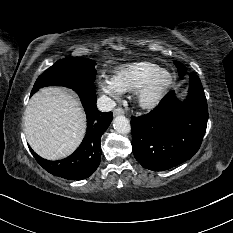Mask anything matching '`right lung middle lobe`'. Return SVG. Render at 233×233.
<instances>
[{
  "mask_svg": "<svg viewBox=\"0 0 233 233\" xmlns=\"http://www.w3.org/2000/svg\"><path fill=\"white\" fill-rule=\"evenodd\" d=\"M95 65L94 61L81 57L61 59L38 77L31 95L39 88L49 85H60L73 89L78 87L95 88L93 86L96 76Z\"/></svg>",
  "mask_w": 233,
  "mask_h": 233,
  "instance_id": "dd1d6c3e",
  "label": "right lung middle lobe"
}]
</instances>
